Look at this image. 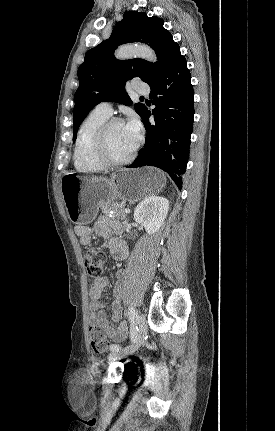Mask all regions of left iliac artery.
<instances>
[{
    "label": "left iliac artery",
    "instance_id": "1",
    "mask_svg": "<svg viewBox=\"0 0 275 431\" xmlns=\"http://www.w3.org/2000/svg\"><path fill=\"white\" fill-rule=\"evenodd\" d=\"M128 317L131 323L130 339H131V342L134 344L136 341V335H137V332H136L137 327L135 328V322L138 319V314L133 306L129 307ZM110 349L111 351H119L121 349V346L117 344H112L110 346Z\"/></svg>",
    "mask_w": 275,
    "mask_h": 431
}]
</instances>
